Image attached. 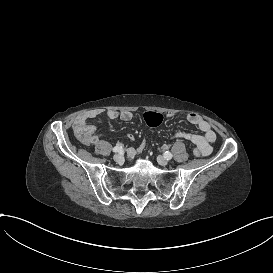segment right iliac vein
I'll list each match as a JSON object with an SVG mask.
<instances>
[{
    "label": "right iliac vein",
    "mask_w": 273,
    "mask_h": 273,
    "mask_svg": "<svg viewBox=\"0 0 273 273\" xmlns=\"http://www.w3.org/2000/svg\"><path fill=\"white\" fill-rule=\"evenodd\" d=\"M113 159H114L115 162L120 163V162L123 161L124 157H123V155H121V154H115V155L113 156Z\"/></svg>",
    "instance_id": "63e3f726"
}]
</instances>
